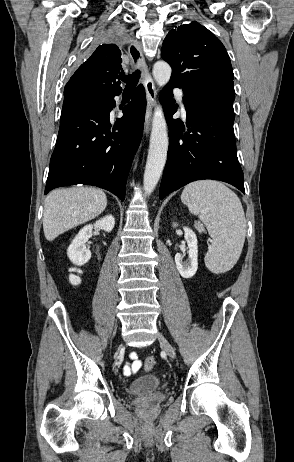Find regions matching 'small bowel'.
<instances>
[{
	"mask_svg": "<svg viewBox=\"0 0 294 462\" xmlns=\"http://www.w3.org/2000/svg\"><path fill=\"white\" fill-rule=\"evenodd\" d=\"M130 359L132 361L128 362V363H125V365L123 366V374L125 376H130V375H133V374L137 373L140 370L141 366H142V363L138 359V355H137L136 352H131L130 353Z\"/></svg>",
	"mask_w": 294,
	"mask_h": 462,
	"instance_id": "c3829d8e",
	"label": "small bowel"
}]
</instances>
